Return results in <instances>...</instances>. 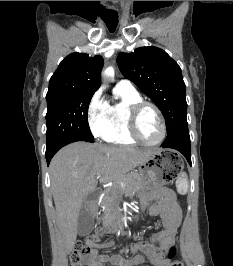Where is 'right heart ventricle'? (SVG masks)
<instances>
[{
    "label": "right heart ventricle",
    "mask_w": 233,
    "mask_h": 266,
    "mask_svg": "<svg viewBox=\"0 0 233 266\" xmlns=\"http://www.w3.org/2000/svg\"><path fill=\"white\" fill-rule=\"evenodd\" d=\"M114 93L119 100L109 105L110 129L104 139L117 145H135L136 142L132 139L128 130L127 111L132 103L142 100V97L136 90H127L117 86Z\"/></svg>",
    "instance_id": "1"
}]
</instances>
